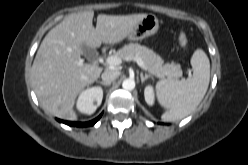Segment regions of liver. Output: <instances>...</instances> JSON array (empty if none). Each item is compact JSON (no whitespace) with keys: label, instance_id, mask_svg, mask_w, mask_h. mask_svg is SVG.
<instances>
[{"label":"liver","instance_id":"liver-1","mask_svg":"<svg viewBox=\"0 0 248 165\" xmlns=\"http://www.w3.org/2000/svg\"><path fill=\"white\" fill-rule=\"evenodd\" d=\"M147 14L97 16L93 11L70 14L44 37L31 68V81L41 107L59 118L76 119L77 95L96 81L103 68L85 64L83 47L116 44L128 37Z\"/></svg>","mask_w":248,"mask_h":165}]
</instances>
